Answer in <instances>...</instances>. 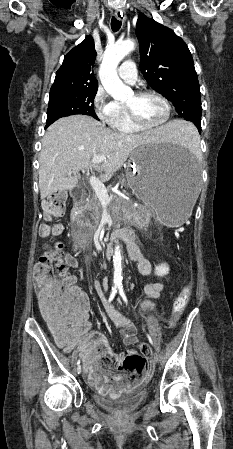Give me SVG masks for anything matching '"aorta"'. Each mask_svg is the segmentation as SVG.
<instances>
[{"mask_svg":"<svg viewBox=\"0 0 233 449\" xmlns=\"http://www.w3.org/2000/svg\"><path fill=\"white\" fill-rule=\"evenodd\" d=\"M134 49V41L126 40L108 47L104 53L100 65L99 77L106 92L115 100H124L132 94L131 88L126 86L118 77L116 69L119 62ZM121 260V249L117 245L113 256L115 279L120 278L122 274Z\"/></svg>","mask_w":233,"mask_h":449,"instance_id":"aorta-1","label":"aorta"}]
</instances>
